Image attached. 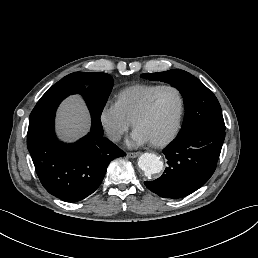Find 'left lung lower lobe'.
<instances>
[{"label":"left lung lower lobe","mask_w":258,"mask_h":258,"mask_svg":"<svg viewBox=\"0 0 258 258\" xmlns=\"http://www.w3.org/2000/svg\"><path fill=\"white\" fill-rule=\"evenodd\" d=\"M225 139V129L204 127L173 140L163 153L168 167L145 186L163 198L179 199L202 187L212 176Z\"/></svg>","instance_id":"left-lung-lower-lobe-1"}]
</instances>
